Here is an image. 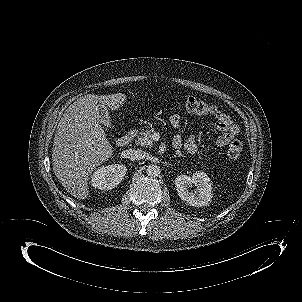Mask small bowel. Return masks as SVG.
Masks as SVG:
<instances>
[{
  "label": "small bowel",
  "mask_w": 302,
  "mask_h": 302,
  "mask_svg": "<svg viewBox=\"0 0 302 302\" xmlns=\"http://www.w3.org/2000/svg\"><path fill=\"white\" fill-rule=\"evenodd\" d=\"M171 126L175 129L180 127L181 119L180 116L175 114L169 118ZM215 130L219 133V136L212 141L215 147H224L237 134V127L233 125L228 117L221 114L217 117V121L214 123ZM178 143L179 147H184L188 152H194L196 150L195 136L189 135L184 138L181 134H177L174 138V144Z\"/></svg>",
  "instance_id": "obj_1"
}]
</instances>
